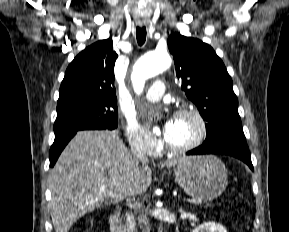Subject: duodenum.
Wrapping results in <instances>:
<instances>
[{
  "label": "duodenum",
  "instance_id": "410a0bca",
  "mask_svg": "<svg viewBox=\"0 0 289 232\" xmlns=\"http://www.w3.org/2000/svg\"><path fill=\"white\" fill-rule=\"evenodd\" d=\"M111 232H126L121 222V210L117 208L110 216Z\"/></svg>",
  "mask_w": 289,
  "mask_h": 232
}]
</instances>
